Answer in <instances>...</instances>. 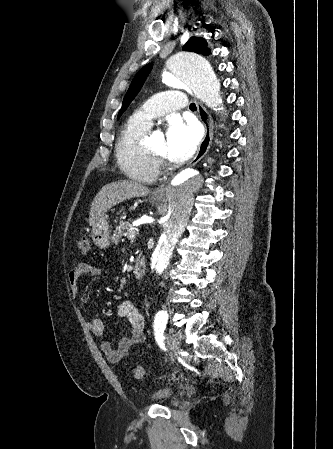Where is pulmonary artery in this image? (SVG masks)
<instances>
[{"label": "pulmonary artery", "instance_id": "e3ab8cb5", "mask_svg": "<svg viewBox=\"0 0 333 449\" xmlns=\"http://www.w3.org/2000/svg\"><path fill=\"white\" fill-rule=\"evenodd\" d=\"M187 106L186 95L179 90L162 91L149 99L136 113L135 118L150 127L152 120L165 111L179 110Z\"/></svg>", "mask_w": 333, "mask_h": 449}]
</instances>
